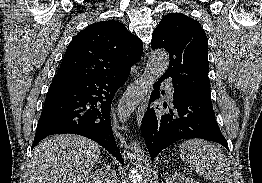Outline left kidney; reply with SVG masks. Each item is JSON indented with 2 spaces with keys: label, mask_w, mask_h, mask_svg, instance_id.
Wrapping results in <instances>:
<instances>
[{
  "label": "left kidney",
  "mask_w": 262,
  "mask_h": 183,
  "mask_svg": "<svg viewBox=\"0 0 262 183\" xmlns=\"http://www.w3.org/2000/svg\"><path fill=\"white\" fill-rule=\"evenodd\" d=\"M166 183H199V182L184 174L175 173L166 179Z\"/></svg>",
  "instance_id": "left-kidney-1"
}]
</instances>
